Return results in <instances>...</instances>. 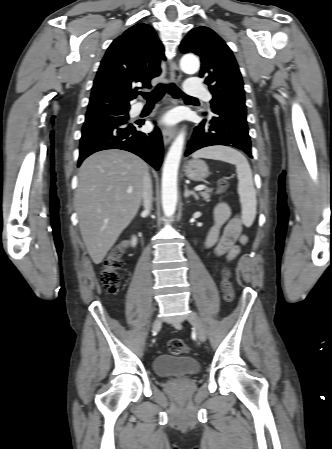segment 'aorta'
<instances>
[{
  "label": "aorta",
  "mask_w": 332,
  "mask_h": 449,
  "mask_svg": "<svg viewBox=\"0 0 332 449\" xmlns=\"http://www.w3.org/2000/svg\"><path fill=\"white\" fill-rule=\"evenodd\" d=\"M181 69L187 74H195L200 67L199 60L194 55H185L180 61ZM185 132L182 131L172 143L162 172V208L165 216L171 217L177 206V175L183 152Z\"/></svg>",
  "instance_id": "1"
}]
</instances>
